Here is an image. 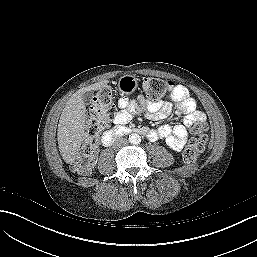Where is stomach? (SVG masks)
Wrapping results in <instances>:
<instances>
[{
    "label": "stomach",
    "instance_id": "obj_1",
    "mask_svg": "<svg viewBox=\"0 0 257 257\" xmlns=\"http://www.w3.org/2000/svg\"><path fill=\"white\" fill-rule=\"evenodd\" d=\"M138 86V79L135 75L126 74L120 77L118 81V88L122 94L133 93Z\"/></svg>",
    "mask_w": 257,
    "mask_h": 257
}]
</instances>
